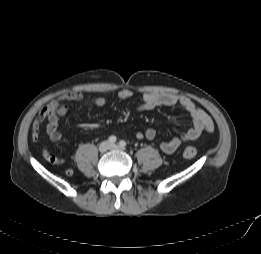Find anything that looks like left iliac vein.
<instances>
[{"label":"left iliac vein","mask_w":261,"mask_h":254,"mask_svg":"<svg viewBox=\"0 0 261 254\" xmlns=\"http://www.w3.org/2000/svg\"><path fill=\"white\" fill-rule=\"evenodd\" d=\"M110 149H123V148L120 147V146L117 145V144H111V145H110Z\"/></svg>","instance_id":"4c4485c4"}]
</instances>
